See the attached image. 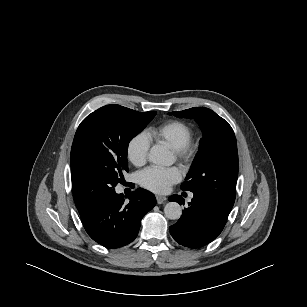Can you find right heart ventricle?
Here are the masks:
<instances>
[{
    "label": "right heart ventricle",
    "instance_id": "e07e8e85",
    "mask_svg": "<svg viewBox=\"0 0 307 307\" xmlns=\"http://www.w3.org/2000/svg\"><path fill=\"white\" fill-rule=\"evenodd\" d=\"M191 127L182 121L171 120L146 132V137L157 144H164L172 150L178 149L191 141Z\"/></svg>",
    "mask_w": 307,
    "mask_h": 307
}]
</instances>
